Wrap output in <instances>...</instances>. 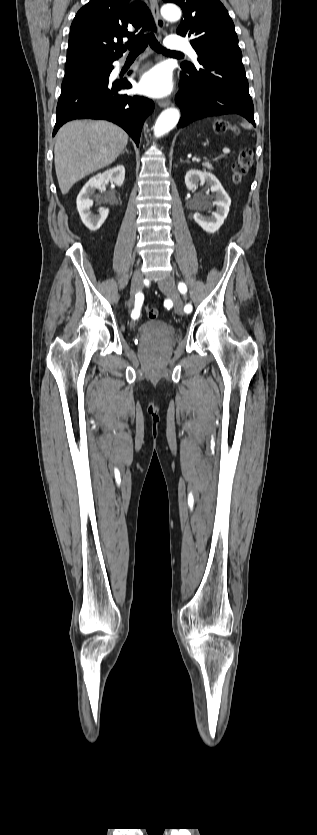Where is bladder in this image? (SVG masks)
<instances>
[{"mask_svg": "<svg viewBox=\"0 0 317 835\" xmlns=\"http://www.w3.org/2000/svg\"><path fill=\"white\" fill-rule=\"evenodd\" d=\"M140 337L148 340H162L173 336L175 329L172 325L161 320H148L137 330Z\"/></svg>", "mask_w": 317, "mask_h": 835, "instance_id": "bladder-1", "label": "bladder"}]
</instances>
